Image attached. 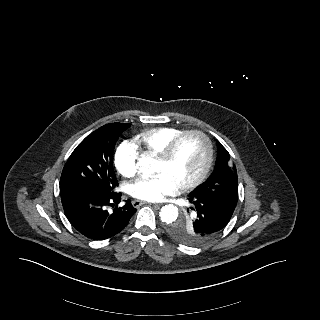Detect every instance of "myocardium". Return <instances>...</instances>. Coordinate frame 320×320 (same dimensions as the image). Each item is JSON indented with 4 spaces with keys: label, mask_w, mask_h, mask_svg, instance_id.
Returning <instances> with one entry per match:
<instances>
[{
    "label": "myocardium",
    "mask_w": 320,
    "mask_h": 320,
    "mask_svg": "<svg viewBox=\"0 0 320 320\" xmlns=\"http://www.w3.org/2000/svg\"><path fill=\"white\" fill-rule=\"evenodd\" d=\"M189 136H198L204 142L205 160L201 172L192 180L178 186L179 191H188L200 185L208 176L213 163V145L209 136L201 130H187L174 138L165 149L158 155V159L163 162H169L175 156L180 144Z\"/></svg>",
    "instance_id": "myocardium-1"
}]
</instances>
